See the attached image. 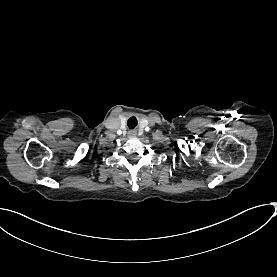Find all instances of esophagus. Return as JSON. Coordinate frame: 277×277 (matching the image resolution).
I'll return each instance as SVG.
<instances>
[{
    "mask_svg": "<svg viewBox=\"0 0 277 277\" xmlns=\"http://www.w3.org/2000/svg\"><path fill=\"white\" fill-rule=\"evenodd\" d=\"M137 135V131H135V130H130L129 132H128V137L129 138H133V137H135Z\"/></svg>",
    "mask_w": 277,
    "mask_h": 277,
    "instance_id": "34e87169",
    "label": "esophagus"
}]
</instances>
